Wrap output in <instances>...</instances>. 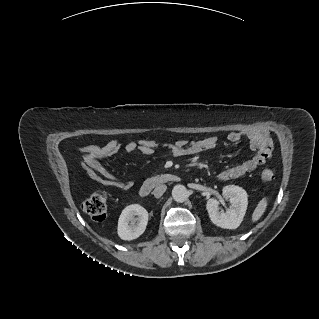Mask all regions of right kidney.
Wrapping results in <instances>:
<instances>
[{
  "instance_id": "obj_1",
  "label": "right kidney",
  "mask_w": 319,
  "mask_h": 319,
  "mask_svg": "<svg viewBox=\"0 0 319 319\" xmlns=\"http://www.w3.org/2000/svg\"><path fill=\"white\" fill-rule=\"evenodd\" d=\"M148 223V212L139 204L125 207L119 217L117 233L123 240H133L142 235Z\"/></svg>"
}]
</instances>
